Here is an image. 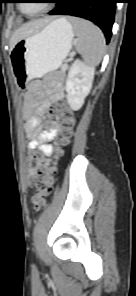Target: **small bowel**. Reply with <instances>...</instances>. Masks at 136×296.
Returning a JSON list of instances; mask_svg holds the SVG:
<instances>
[{
    "instance_id": "small-bowel-1",
    "label": "small bowel",
    "mask_w": 136,
    "mask_h": 296,
    "mask_svg": "<svg viewBox=\"0 0 136 296\" xmlns=\"http://www.w3.org/2000/svg\"><path fill=\"white\" fill-rule=\"evenodd\" d=\"M35 90V86H33ZM65 97V90L62 84H55L50 88L48 98L37 106L33 105L34 97L31 93L25 96L23 115L25 119L24 129L29 139L28 149H37L46 156L53 152L51 142L58 137L59 124L56 121L44 123L42 116L45 108L50 103H59Z\"/></svg>"
}]
</instances>
